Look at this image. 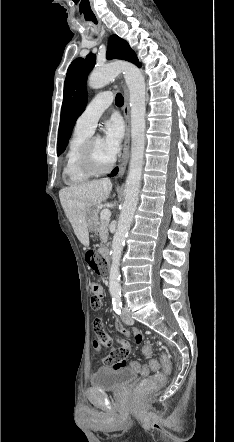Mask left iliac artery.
I'll return each mask as SVG.
<instances>
[{
  "label": "left iliac artery",
  "instance_id": "obj_1",
  "mask_svg": "<svg viewBox=\"0 0 234 442\" xmlns=\"http://www.w3.org/2000/svg\"><path fill=\"white\" fill-rule=\"evenodd\" d=\"M112 303L113 308L117 314H121L122 312V301H121V294L115 293L112 295Z\"/></svg>",
  "mask_w": 234,
  "mask_h": 442
}]
</instances>
